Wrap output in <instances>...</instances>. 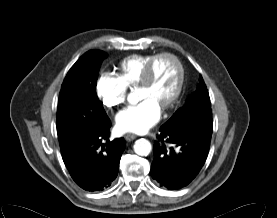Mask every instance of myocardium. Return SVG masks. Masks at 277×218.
<instances>
[{"instance_id":"obj_1","label":"myocardium","mask_w":277,"mask_h":218,"mask_svg":"<svg viewBox=\"0 0 277 218\" xmlns=\"http://www.w3.org/2000/svg\"><path fill=\"white\" fill-rule=\"evenodd\" d=\"M162 58H168L171 61H173V63L176 65L178 69V80L176 86L172 93L169 95V97L161 104V108L166 109L170 107L173 103H175L177 99L180 97L185 83V68L182 60L176 54L170 52H163L155 55L147 65L143 78L139 83V86L146 87L150 85L153 78L154 68L157 62Z\"/></svg>"}]
</instances>
